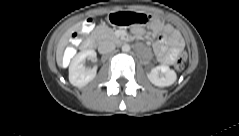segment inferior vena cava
<instances>
[{
	"instance_id": "1",
	"label": "inferior vena cava",
	"mask_w": 239,
	"mask_h": 136,
	"mask_svg": "<svg viewBox=\"0 0 239 136\" xmlns=\"http://www.w3.org/2000/svg\"><path fill=\"white\" fill-rule=\"evenodd\" d=\"M115 44L110 40H104L100 42L98 46V52L101 54H106L112 52L115 49Z\"/></svg>"
}]
</instances>
